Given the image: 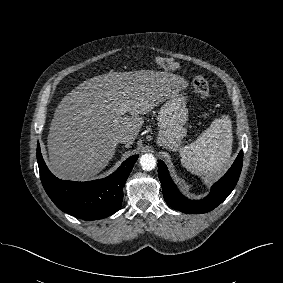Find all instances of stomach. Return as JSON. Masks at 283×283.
<instances>
[{"label":"stomach","instance_id":"0dacf381","mask_svg":"<svg viewBox=\"0 0 283 283\" xmlns=\"http://www.w3.org/2000/svg\"><path fill=\"white\" fill-rule=\"evenodd\" d=\"M187 120L188 109L184 97L177 93L171 95L158 113L157 144L173 151L176 150L187 134L184 127Z\"/></svg>","mask_w":283,"mask_h":283}]
</instances>
